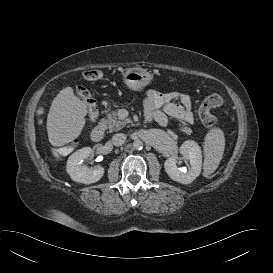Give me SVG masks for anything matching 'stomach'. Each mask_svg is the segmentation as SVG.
<instances>
[{"instance_id": "1", "label": "stomach", "mask_w": 273, "mask_h": 273, "mask_svg": "<svg viewBox=\"0 0 273 273\" xmlns=\"http://www.w3.org/2000/svg\"><path fill=\"white\" fill-rule=\"evenodd\" d=\"M153 80V75L141 67L127 68L123 73L124 84L133 91H141Z\"/></svg>"}]
</instances>
